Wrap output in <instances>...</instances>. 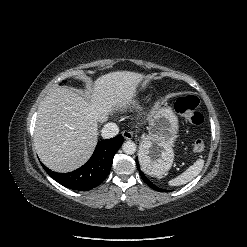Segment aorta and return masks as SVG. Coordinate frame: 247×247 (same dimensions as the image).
Returning a JSON list of instances; mask_svg holds the SVG:
<instances>
[{
    "instance_id": "1",
    "label": "aorta",
    "mask_w": 247,
    "mask_h": 247,
    "mask_svg": "<svg viewBox=\"0 0 247 247\" xmlns=\"http://www.w3.org/2000/svg\"><path fill=\"white\" fill-rule=\"evenodd\" d=\"M122 150L126 154H134L136 151V144L132 141H126L122 145Z\"/></svg>"
}]
</instances>
